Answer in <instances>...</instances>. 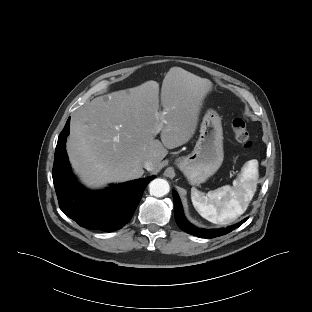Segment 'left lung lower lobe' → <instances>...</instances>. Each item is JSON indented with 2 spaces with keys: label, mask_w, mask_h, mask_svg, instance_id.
Listing matches in <instances>:
<instances>
[{
  "label": "left lung lower lobe",
  "mask_w": 312,
  "mask_h": 312,
  "mask_svg": "<svg viewBox=\"0 0 312 312\" xmlns=\"http://www.w3.org/2000/svg\"><path fill=\"white\" fill-rule=\"evenodd\" d=\"M173 200H174V215L176 219L177 225L185 232L201 237V238H214L218 236L225 235L232 230L238 228L241 226L247 219L242 220L240 223L235 224L233 226H229L227 228H221V229H199L189 223L184 214H183V209L181 205L180 198L176 191H173Z\"/></svg>",
  "instance_id": "obj_1"
}]
</instances>
